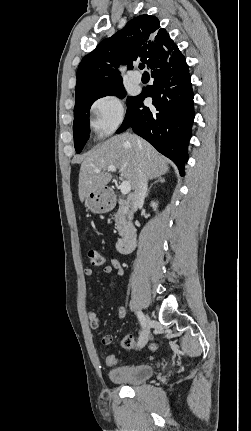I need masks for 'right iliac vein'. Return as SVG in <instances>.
<instances>
[{
	"mask_svg": "<svg viewBox=\"0 0 251 431\" xmlns=\"http://www.w3.org/2000/svg\"><path fill=\"white\" fill-rule=\"evenodd\" d=\"M150 337V318L146 316V323L141 332L139 344L140 347H143L149 340Z\"/></svg>",
	"mask_w": 251,
	"mask_h": 431,
	"instance_id": "1",
	"label": "right iliac vein"
}]
</instances>
